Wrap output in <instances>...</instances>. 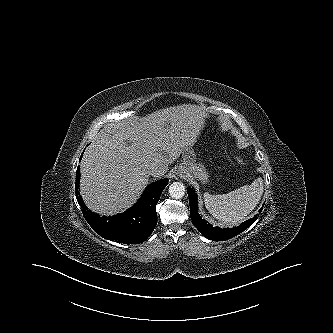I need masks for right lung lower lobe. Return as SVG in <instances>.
<instances>
[{
  "mask_svg": "<svg viewBox=\"0 0 333 333\" xmlns=\"http://www.w3.org/2000/svg\"><path fill=\"white\" fill-rule=\"evenodd\" d=\"M79 179L80 168L78 166L76 197L86 221L96 233L107 240L126 244L142 243L151 235L157 224L156 205L162 190L168 184V179L150 184L132 208L112 217H100L88 210L78 192Z\"/></svg>",
  "mask_w": 333,
  "mask_h": 333,
  "instance_id": "right-lung-lower-lobe-1",
  "label": "right lung lower lobe"
}]
</instances>
